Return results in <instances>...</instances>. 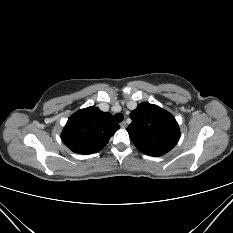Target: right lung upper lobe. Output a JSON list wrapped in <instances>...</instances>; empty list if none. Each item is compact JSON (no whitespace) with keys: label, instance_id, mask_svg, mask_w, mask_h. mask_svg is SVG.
Returning <instances> with one entry per match:
<instances>
[{"label":"right lung upper lobe","instance_id":"right-lung-upper-lobe-1","mask_svg":"<svg viewBox=\"0 0 233 233\" xmlns=\"http://www.w3.org/2000/svg\"><path fill=\"white\" fill-rule=\"evenodd\" d=\"M119 128L110 113L91 106L70 116L61 139L75 153L92 154L101 150Z\"/></svg>","mask_w":233,"mask_h":233}]
</instances>
